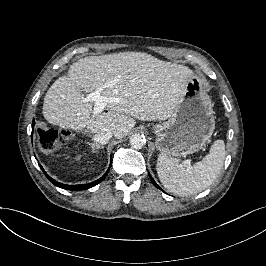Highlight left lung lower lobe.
<instances>
[{
    "instance_id": "obj_1",
    "label": "left lung lower lobe",
    "mask_w": 266,
    "mask_h": 266,
    "mask_svg": "<svg viewBox=\"0 0 266 266\" xmlns=\"http://www.w3.org/2000/svg\"><path fill=\"white\" fill-rule=\"evenodd\" d=\"M149 177L151 178V181L153 182V184L160 189V187L155 183V181L153 180V178L151 177V175L149 174ZM161 190V189H160Z\"/></svg>"
}]
</instances>
